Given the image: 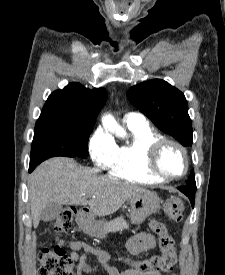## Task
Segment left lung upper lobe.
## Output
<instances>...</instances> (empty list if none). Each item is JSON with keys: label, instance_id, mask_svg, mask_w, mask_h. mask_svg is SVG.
Segmentation results:
<instances>
[{"label": "left lung upper lobe", "instance_id": "1", "mask_svg": "<svg viewBox=\"0 0 225 275\" xmlns=\"http://www.w3.org/2000/svg\"><path fill=\"white\" fill-rule=\"evenodd\" d=\"M129 101L143 112L161 131L176 138L183 146L193 143L192 122L185 96L164 80H149L131 87ZM196 186L192 172L186 181Z\"/></svg>", "mask_w": 225, "mask_h": 275}]
</instances>
